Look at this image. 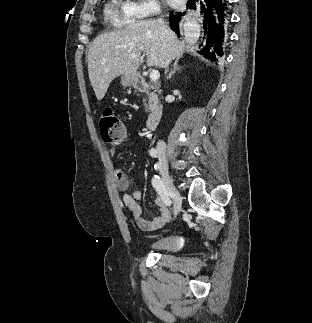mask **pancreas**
I'll use <instances>...</instances> for the list:
<instances>
[{
  "label": "pancreas",
  "mask_w": 312,
  "mask_h": 323,
  "mask_svg": "<svg viewBox=\"0 0 312 323\" xmlns=\"http://www.w3.org/2000/svg\"><path fill=\"white\" fill-rule=\"evenodd\" d=\"M148 88L149 90H153L151 86H148ZM146 102H148V104H144L147 108L146 112H149V110H155V108H157L156 104H158L156 94H148V100H146Z\"/></svg>",
  "instance_id": "pancreas-1"
}]
</instances>
